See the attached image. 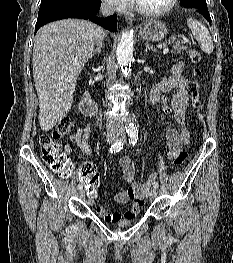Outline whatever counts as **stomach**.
<instances>
[{"mask_svg": "<svg viewBox=\"0 0 233 263\" xmlns=\"http://www.w3.org/2000/svg\"><path fill=\"white\" fill-rule=\"evenodd\" d=\"M166 25L159 20L145 22L140 29V35L147 41H161L167 35Z\"/></svg>", "mask_w": 233, "mask_h": 263, "instance_id": "0dacf381", "label": "stomach"}]
</instances>
